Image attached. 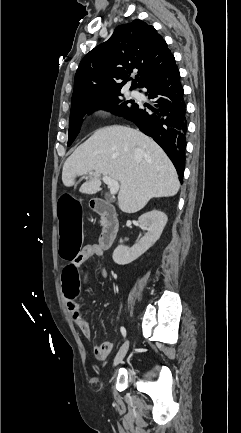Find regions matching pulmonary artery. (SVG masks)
<instances>
[{"label": "pulmonary artery", "instance_id": "1", "mask_svg": "<svg viewBox=\"0 0 241 433\" xmlns=\"http://www.w3.org/2000/svg\"><path fill=\"white\" fill-rule=\"evenodd\" d=\"M131 94L133 95V96H138V92L137 91H135V90H133V91H131Z\"/></svg>", "mask_w": 241, "mask_h": 433}]
</instances>
